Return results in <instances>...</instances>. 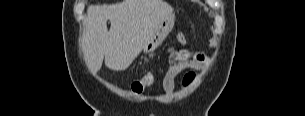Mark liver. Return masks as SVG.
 I'll return each instance as SVG.
<instances>
[{
	"instance_id": "1",
	"label": "liver",
	"mask_w": 305,
	"mask_h": 116,
	"mask_svg": "<svg viewBox=\"0 0 305 116\" xmlns=\"http://www.w3.org/2000/svg\"><path fill=\"white\" fill-rule=\"evenodd\" d=\"M173 14L163 0H124L111 5H90L82 36V50L90 72L103 60L113 71L127 69L155 33L160 22ZM111 27L108 31L107 21Z\"/></svg>"
}]
</instances>
